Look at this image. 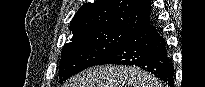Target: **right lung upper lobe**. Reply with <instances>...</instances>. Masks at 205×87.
Masks as SVG:
<instances>
[{
  "label": "right lung upper lobe",
  "instance_id": "cb5924a9",
  "mask_svg": "<svg viewBox=\"0 0 205 87\" xmlns=\"http://www.w3.org/2000/svg\"><path fill=\"white\" fill-rule=\"evenodd\" d=\"M151 0H96L84 4L71 21L73 37L96 30L134 33L151 23Z\"/></svg>",
  "mask_w": 205,
  "mask_h": 87
}]
</instances>
